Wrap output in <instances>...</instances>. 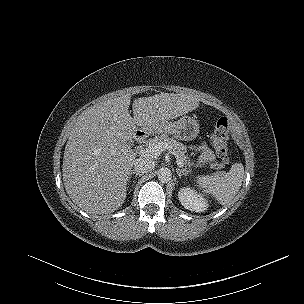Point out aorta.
Here are the masks:
<instances>
[{"label":"aorta","instance_id":"762f6f07","mask_svg":"<svg viewBox=\"0 0 304 304\" xmlns=\"http://www.w3.org/2000/svg\"><path fill=\"white\" fill-rule=\"evenodd\" d=\"M157 176L160 182L166 183L171 179L172 173L168 168H161L158 170Z\"/></svg>","mask_w":304,"mask_h":304}]
</instances>
